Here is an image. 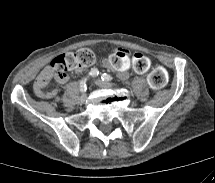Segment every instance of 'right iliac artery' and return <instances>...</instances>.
Wrapping results in <instances>:
<instances>
[{"instance_id": "82829eb1", "label": "right iliac artery", "mask_w": 215, "mask_h": 183, "mask_svg": "<svg viewBox=\"0 0 215 183\" xmlns=\"http://www.w3.org/2000/svg\"><path fill=\"white\" fill-rule=\"evenodd\" d=\"M98 74H99V71L96 68H93L89 72L88 77H96V76H98ZM86 80H87V78H84L80 82V91L81 92H86V90H87Z\"/></svg>"}]
</instances>
